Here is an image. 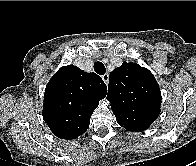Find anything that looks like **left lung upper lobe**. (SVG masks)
Masks as SVG:
<instances>
[{
  "label": "left lung upper lobe",
  "mask_w": 196,
  "mask_h": 166,
  "mask_svg": "<svg viewBox=\"0 0 196 166\" xmlns=\"http://www.w3.org/2000/svg\"><path fill=\"white\" fill-rule=\"evenodd\" d=\"M107 100L120 126L142 132L159 116L161 91L148 69L123 62L110 73Z\"/></svg>",
  "instance_id": "5c2ea615"
}]
</instances>
